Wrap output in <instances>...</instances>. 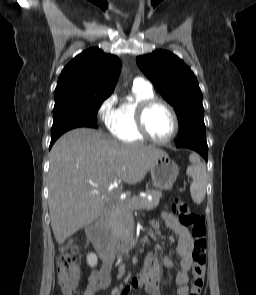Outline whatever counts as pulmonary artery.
Segmentation results:
<instances>
[{
  "mask_svg": "<svg viewBox=\"0 0 256 295\" xmlns=\"http://www.w3.org/2000/svg\"><path fill=\"white\" fill-rule=\"evenodd\" d=\"M133 86L140 87V88H146V89H152L151 83L141 77L134 79Z\"/></svg>",
  "mask_w": 256,
  "mask_h": 295,
  "instance_id": "e3ab8cb5",
  "label": "pulmonary artery"
}]
</instances>
